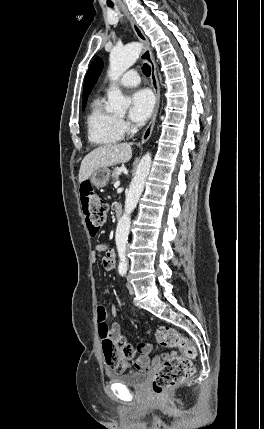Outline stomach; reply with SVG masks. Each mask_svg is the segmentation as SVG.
<instances>
[{"mask_svg":"<svg viewBox=\"0 0 264 429\" xmlns=\"http://www.w3.org/2000/svg\"><path fill=\"white\" fill-rule=\"evenodd\" d=\"M110 178V170L107 167L96 170L90 176V182L97 188L104 187L108 184Z\"/></svg>","mask_w":264,"mask_h":429,"instance_id":"0dacf381","label":"stomach"}]
</instances>
